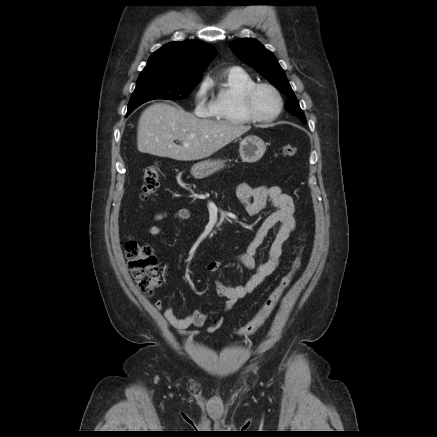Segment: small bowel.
Instances as JSON below:
<instances>
[{
    "label": "small bowel",
    "mask_w": 437,
    "mask_h": 437,
    "mask_svg": "<svg viewBox=\"0 0 437 437\" xmlns=\"http://www.w3.org/2000/svg\"><path fill=\"white\" fill-rule=\"evenodd\" d=\"M237 197L243 205L245 212L249 216H256L267 208H273V212L263 221L256 232V235L249 245L246 253L238 256V261L246 268L253 270L252 276L242 285L230 286L217 279L215 281L216 293L225 299V311H230L235 303L253 292L269 275H271L280 264L291 233L295 230V205L293 198L284 193L277 184L250 187L248 184H241L237 189ZM169 216L168 211L157 213L153 220L160 222ZM173 217L178 220H186L191 217V212L187 208H180ZM280 224L275 238L270 246L267 259L258 263L257 253L268 232L276 225ZM147 233L153 236L162 234V228L157 224H152L147 228ZM222 262L218 260L207 264L209 272H217L221 268ZM157 309L163 308V302H155ZM166 321L175 328L180 334L188 337L199 334L198 328L203 327L208 315L199 310H192L185 317H178L173 307L169 304L163 311ZM222 318H215L207 327V332H215L222 324ZM190 327L197 329L188 331Z\"/></svg>",
    "instance_id": "c3829d8e"
}]
</instances>
